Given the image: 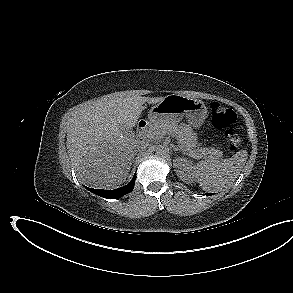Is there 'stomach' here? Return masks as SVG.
<instances>
[{"label":"stomach","mask_w":293,"mask_h":293,"mask_svg":"<svg viewBox=\"0 0 293 293\" xmlns=\"http://www.w3.org/2000/svg\"><path fill=\"white\" fill-rule=\"evenodd\" d=\"M207 108L201 100L183 95L172 94L164 97L158 104L151 107L148 113L150 124L176 123L186 117L194 128L200 127L207 118Z\"/></svg>","instance_id":"stomach-1"}]
</instances>
